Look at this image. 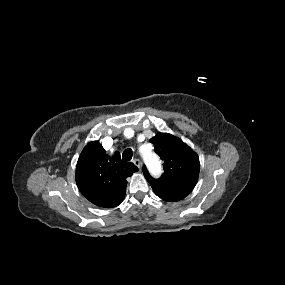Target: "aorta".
<instances>
[{"label":"aorta","mask_w":285,"mask_h":285,"mask_svg":"<svg viewBox=\"0 0 285 285\" xmlns=\"http://www.w3.org/2000/svg\"><path fill=\"white\" fill-rule=\"evenodd\" d=\"M142 155H143L145 163L148 166L150 172L154 176H159L161 173V164H160V161H159L157 155H155L154 153L149 152V151L148 152L142 151Z\"/></svg>","instance_id":"aorta-1"}]
</instances>
